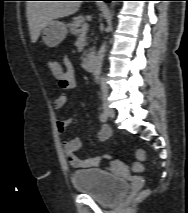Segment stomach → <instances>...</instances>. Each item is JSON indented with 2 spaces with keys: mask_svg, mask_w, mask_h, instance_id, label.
<instances>
[{
  "mask_svg": "<svg viewBox=\"0 0 188 213\" xmlns=\"http://www.w3.org/2000/svg\"><path fill=\"white\" fill-rule=\"evenodd\" d=\"M42 41L48 47H55L60 44L67 35L65 23L53 20L41 29Z\"/></svg>",
  "mask_w": 188,
  "mask_h": 213,
  "instance_id": "1",
  "label": "stomach"
}]
</instances>
